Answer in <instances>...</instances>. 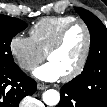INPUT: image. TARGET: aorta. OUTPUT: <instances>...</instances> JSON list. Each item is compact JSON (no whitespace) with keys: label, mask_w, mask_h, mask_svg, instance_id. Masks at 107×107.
<instances>
[{"label":"aorta","mask_w":107,"mask_h":107,"mask_svg":"<svg viewBox=\"0 0 107 107\" xmlns=\"http://www.w3.org/2000/svg\"><path fill=\"white\" fill-rule=\"evenodd\" d=\"M43 101L48 106H56L60 101V94L57 90L49 89L43 93Z\"/></svg>","instance_id":"aorta-1"}]
</instances>
